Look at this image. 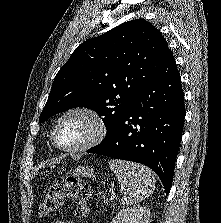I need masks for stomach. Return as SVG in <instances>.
<instances>
[{
  "instance_id": "1",
  "label": "stomach",
  "mask_w": 221,
  "mask_h": 223,
  "mask_svg": "<svg viewBox=\"0 0 221 223\" xmlns=\"http://www.w3.org/2000/svg\"><path fill=\"white\" fill-rule=\"evenodd\" d=\"M70 172L77 177H91L93 175V169L88 166H78L77 168L70 170Z\"/></svg>"
}]
</instances>
